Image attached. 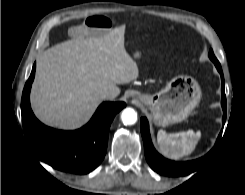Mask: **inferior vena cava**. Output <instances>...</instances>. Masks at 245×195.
<instances>
[{"instance_id": "1", "label": "inferior vena cava", "mask_w": 245, "mask_h": 195, "mask_svg": "<svg viewBox=\"0 0 245 195\" xmlns=\"http://www.w3.org/2000/svg\"><path fill=\"white\" fill-rule=\"evenodd\" d=\"M114 97H115L114 93H112V92H110V91H105V92H103V93L101 94V98H102V99H112V98H114Z\"/></svg>"}]
</instances>
